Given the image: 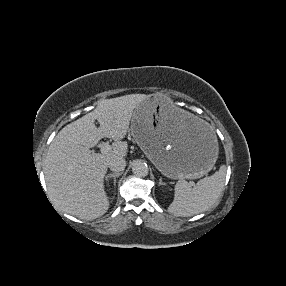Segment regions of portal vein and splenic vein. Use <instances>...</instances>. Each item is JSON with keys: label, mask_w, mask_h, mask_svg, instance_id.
<instances>
[{"label": "portal vein and splenic vein", "mask_w": 286, "mask_h": 286, "mask_svg": "<svg viewBox=\"0 0 286 286\" xmlns=\"http://www.w3.org/2000/svg\"><path fill=\"white\" fill-rule=\"evenodd\" d=\"M111 149H112L111 145H109V144H104V145L101 147L100 151H101L102 154H108V153L111 151Z\"/></svg>", "instance_id": "portal-vein-and-splenic-vein-1"}]
</instances>
